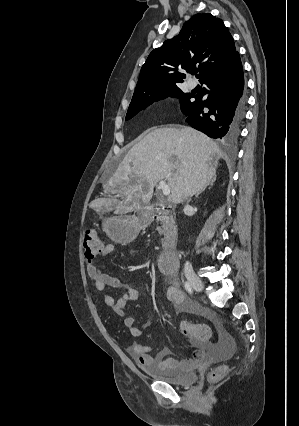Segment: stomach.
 <instances>
[{"mask_svg": "<svg viewBox=\"0 0 299 426\" xmlns=\"http://www.w3.org/2000/svg\"><path fill=\"white\" fill-rule=\"evenodd\" d=\"M103 230L115 242L127 243L132 241L137 234V223L132 218L113 216L105 218L102 223Z\"/></svg>", "mask_w": 299, "mask_h": 426, "instance_id": "stomach-1", "label": "stomach"}]
</instances>
